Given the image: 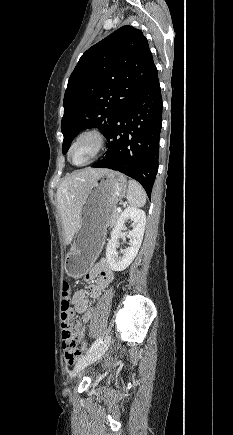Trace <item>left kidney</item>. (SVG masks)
Masks as SVG:
<instances>
[{"label":"left kidney","mask_w":233,"mask_h":435,"mask_svg":"<svg viewBox=\"0 0 233 435\" xmlns=\"http://www.w3.org/2000/svg\"><path fill=\"white\" fill-rule=\"evenodd\" d=\"M131 219L133 221V229L128 232L130 238L129 247L122 251V257L118 256L116 248L118 246V238L122 233L125 222ZM146 224L145 212L134 207H127L117 220L115 227L111 232V239L106 247V259L109 267L113 271H123L126 269L136 257L141 246Z\"/></svg>","instance_id":"obj_1"}]
</instances>
